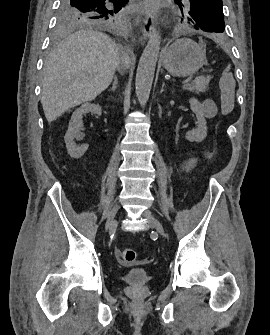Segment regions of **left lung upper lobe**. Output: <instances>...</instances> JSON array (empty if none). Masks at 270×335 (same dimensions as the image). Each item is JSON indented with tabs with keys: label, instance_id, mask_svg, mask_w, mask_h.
<instances>
[{
	"label": "left lung upper lobe",
	"instance_id": "left-lung-upper-lobe-1",
	"mask_svg": "<svg viewBox=\"0 0 270 335\" xmlns=\"http://www.w3.org/2000/svg\"><path fill=\"white\" fill-rule=\"evenodd\" d=\"M174 0L179 5L182 16L197 30L212 33L224 32L222 0Z\"/></svg>",
	"mask_w": 270,
	"mask_h": 335
}]
</instances>
